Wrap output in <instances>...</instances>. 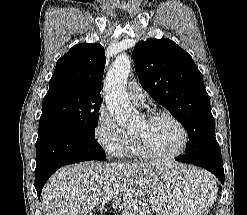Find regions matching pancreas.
<instances>
[{
    "label": "pancreas",
    "instance_id": "1",
    "mask_svg": "<svg viewBox=\"0 0 247 215\" xmlns=\"http://www.w3.org/2000/svg\"><path fill=\"white\" fill-rule=\"evenodd\" d=\"M149 206L139 200L132 201L129 205L125 206L122 215H151Z\"/></svg>",
    "mask_w": 247,
    "mask_h": 215
}]
</instances>
